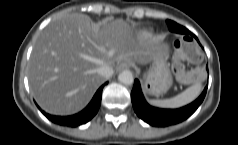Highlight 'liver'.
Here are the masks:
<instances>
[{
  "label": "liver",
  "instance_id": "liver-1",
  "mask_svg": "<svg viewBox=\"0 0 238 145\" xmlns=\"http://www.w3.org/2000/svg\"><path fill=\"white\" fill-rule=\"evenodd\" d=\"M161 41L137 42L123 19L94 23L83 14L50 23L37 38L28 65L31 92L54 115L83 109L105 78L97 70L122 60L148 64L160 56Z\"/></svg>",
  "mask_w": 238,
  "mask_h": 145
}]
</instances>
